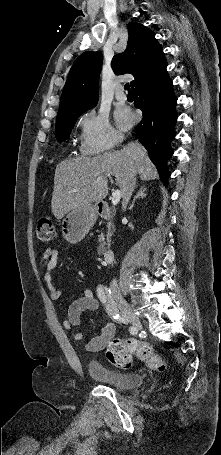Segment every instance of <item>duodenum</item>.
Returning <instances> with one entry per match:
<instances>
[{"label":"duodenum","instance_id":"1","mask_svg":"<svg viewBox=\"0 0 221 455\" xmlns=\"http://www.w3.org/2000/svg\"><path fill=\"white\" fill-rule=\"evenodd\" d=\"M97 212L101 217L105 219L110 218V207L108 205H99L97 208ZM113 256L114 250L111 247L105 249L102 255L103 259L106 262H110L113 259Z\"/></svg>","mask_w":221,"mask_h":455}]
</instances>
